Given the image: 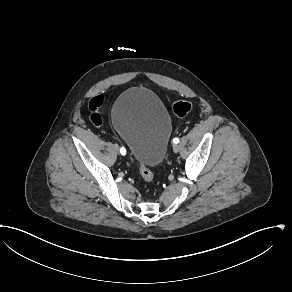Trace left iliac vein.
Masks as SVG:
<instances>
[{
	"instance_id": "left-iliac-vein-1",
	"label": "left iliac vein",
	"mask_w": 292,
	"mask_h": 292,
	"mask_svg": "<svg viewBox=\"0 0 292 292\" xmlns=\"http://www.w3.org/2000/svg\"><path fill=\"white\" fill-rule=\"evenodd\" d=\"M179 150H180V146L177 145V144H174V145H173V151H174L175 153H177Z\"/></svg>"
}]
</instances>
